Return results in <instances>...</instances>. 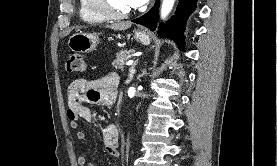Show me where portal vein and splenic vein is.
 Here are the masks:
<instances>
[{
    "mask_svg": "<svg viewBox=\"0 0 277 166\" xmlns=\"http://www.w3.org/2000/svg\"><path fill=\"white\" fill-rule=\"evenodd\" d=\"M133 64V60H129L127 63H126V65H128V66H130V65H132Z\"/></svg>",
    "mask_w": 277,
    "mask_h": 166,
    "instance_id": "obj_1",
    "label": "portal vein and splenic vein"
}]
</instances>
